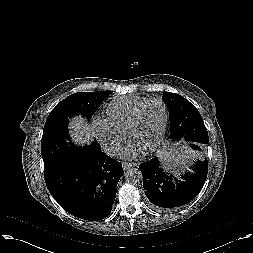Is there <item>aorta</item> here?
<instances>
[{
	"label": "aorta",
	"mask_w": 253,
	"mask_h": 253,
	"mask_svg": "<svg viewBox=\"0 0 253 253\" xmlns=\"http://www.w3.org/2000/svg\"><path fill=\"white\" fill-rule=\"evenodd\" d=\"M125 180L130 184H137L142 180V173L138 168H130L125 173Z\"/></svg>",
	"instance_id": "obj_1"
}]
</instances>
